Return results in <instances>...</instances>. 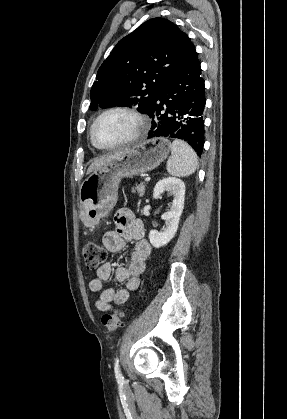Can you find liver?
I'll return each instance as SVG.
<instances>
[{"mask_svg": "<svg viewBox=\"0 0 287 419\" xmlns=\"http://www.w3.org/2000/svg\"><path fill=\"white\" fill-rule=\"evenodd\" d=\"M124 150H120V151H116L114 153H110L104 156H101L99 158H96L92 164L89 166L88 170H87V174L92 173L94 170H96L97 168H99L100 166L104 165L105 163L111 161L112 159L116 158L117 156H119Z\"/></svg>", "mask_w": 287, "mask_h": 419, "instance_id": "liver-1", "label": "liver"}]
</instances>
